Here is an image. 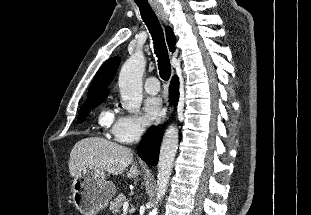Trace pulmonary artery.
Masks as SVG:
<instances>
[{
  "mask_svg": "<svg viewBox=\"0 0 311 215\" xmlns=\"http://www.w3.org/2000/svg\"><path fill=\"white\" fill-rule=\"evenodd\" d=\"M144 87L149 94H156L160 90L159 81L156 77H148L145 80Z\"/></svg>",
  "mask_w": 311,
  "mask_h": 215,
  "instance_id": "e3ab8cb5",
  "label": "pulmonary artery"
}]
</instances>
